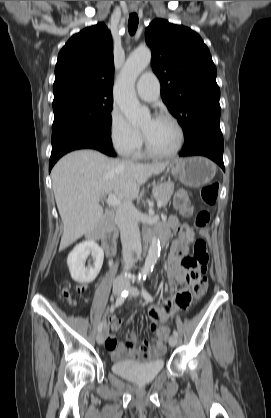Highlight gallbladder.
<instances>
[{"instance_id": "obj_1", "label": "gallbladder", "mask_w": 271, "mask_h": 418, "mask_svg": "<svg viewBox=\"0 0 271 418\" xmlns=\"http://www.w3.org/2000/svg\"><path fill=\"white\" fill-rule=\"evenodd\" d=\"M104 229V224L100 221L98 225L89 233L90 236L99 235Z\"/></svg>"}]
</instances>
